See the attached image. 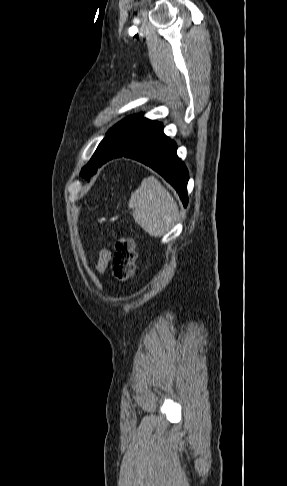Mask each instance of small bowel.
<instances>
[{
  "label": "small bowel",
  "mask_w": 287,
  "mask_h": 486,
  "mask_svg": "<svg viewBox=\"0 0 287 486\" xmlns=\"http://www.w3.org/2000/svg\"><path fill=\"white\" fill-rule=\"evenodd\" d=\"M111 260V253L107 249H102L99 252L98 260L96 263V270L99 273H104L108 267V264Z\"/></svg>",
  "instance_id": "small-bowel-1"
}]
</instances>
